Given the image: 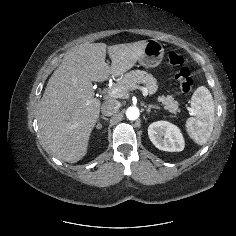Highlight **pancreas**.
Instances as JSON below:
<instances>
[{"instance_id": "cf45deb5", "label": "pancreas", "mask_w": 236, "mask_h": 236, "mask_svg": "<svg viewBox=\"0 0 236 236\" xmlns=\"http://www.w3.org/2000/svg\"><path fill=\"white\" fill-rule=\"evenodd\" d=\"M138 84H144L149 95H153L158 90L156 78L143 70L128 72L123 77L119 78L117 83L110 90L126 87L127 91H129L135 89ZM157 101L169 112L176 113L178 111V102L174 101V98L170 95H161L157 98Z\"/></svg>"}]
</instances>
